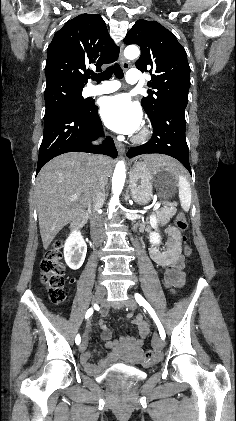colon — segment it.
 <instances>
[{
	"label": "colon",
	"instance_id": "5ec220e1",
	"mask_svg": "<svg viewBox=\"0 0 236 421\" xmlns=\"http://www.w3.org/2000/svg\"><path fill=\"white\" fill-rule=\"evenodd\" d=\"M176 226L181 232H186L188 229V222L183 213H179L176 218ZM184 240H186L184 238ZM184 254L191 256L192 249L185 245ZM41 281L47 287L49 298L52 303L60 304L65 299V267L62 263V242L57 240L54 245L48 250L45 258L40 265ZM155 357V351L150 349L146 352V358L152 359Z\"/></svg>",
	"mask_w": 236,
	"mask_h": 421
}]
</instances>
